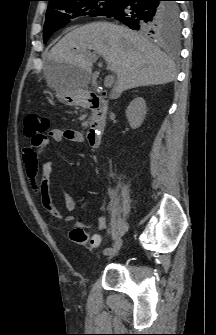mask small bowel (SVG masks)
<instances>
[{"label": "small bowel", "mask_w": 216, "mask_h": 335, "mask_svg": "<svg viewBox=\"0 0 216 335\" xmlns=\"http://www.w3.org/2000/svg\"><path fill=\"white\" fill-rule=\"evenodd\" d=\"M50 139H52L55 142H62L66 140L75 143H82L84 142V136L80 131L77 130L52 129L49 131L48 134H46V137L36 147H28L25 148L23 151V162L25 171L34 191L38 193L44 208L54 218L61 220L63 218L62 213L54 205L49 195V187L51 186L54 178L53 164L50 160L45 161L42 165L43 183L40 186L37 182L38 158L40 153L48 145ZM62 198L64 200L66 209L68 211L74 210L76 203L73 200V198L70 197L65 192H62ZM66 222L74 228H86L91 226V224H86L84 222L77 221L72 216H68L66 218ZM92 225L96 226L98 231H102L106 227V220L103 217L99 216L95 219ZM92 237L98 238L100 240V236L98 234H94Z\"/></svg>", "instance_id": "small-bowel-1"}]
</instances>
